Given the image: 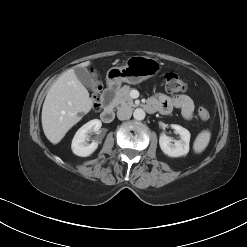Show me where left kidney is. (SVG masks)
<instances>
[{
    "label": "left kidney",
    "instance_id": "1",
    "mask_svg": "<svg viewBox=\"0 0 247 247\" xmlns=\"http://www.w3.org/2000/svg\"><path fill=\"white\" fill-rule=\"evenodd\" d=\"M172 128L179 134L180 140H174V143H171L172 138L161 134L159 138L160 148L169 157L186 156L189 152L190 132L179 125H172Z\"/></svg>",
    "mask_w": 247,
    "mask_h": 247
}]
</instances>
